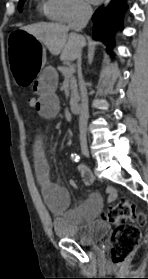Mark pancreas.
Listing matches in <instances>:
<instances>
[{
	"label": "pancreas",
	"mask_w": 148,
	"mask_h": 279,
	"mask_svg": "<svg viewBox=\"0 0 148 279\" xmlns=\"http://www.w3.org/2000/svg\"><path fill=\"white\" fill-rule=\"evenodd\" d=\"M58 70L62 73V75L65 78H68L70 83V89H71V99L73 101H76L78 99V91H77V81L73 73L68 74L69 68L67 67H58Z\"/></svg>",
	"instance_id": "cf45deb5"
}]
</instances>
